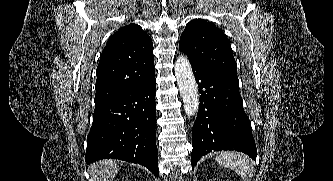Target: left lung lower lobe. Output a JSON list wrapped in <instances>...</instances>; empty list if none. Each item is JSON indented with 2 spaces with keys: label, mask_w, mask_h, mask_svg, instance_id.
Instances as JSON below:
<instances>
[{
  "label": "left lung lower lobe",
  "mask_w": 333,
  "mask_h": 181,
  "mask_svg": "<svg viewBox=\"0 0 333 181\" xmlns=\"http://www.w3.org/2000/svg\"><path fill=\"white\" fill-rule=\"evenodd\" d=\"M192 70L201 93L192 129V168L211 151L235 150L255 160L257 149L239 84L195 65Z\"/></svg>",
  "instance_id": "obj_1"
}]
</instances>
